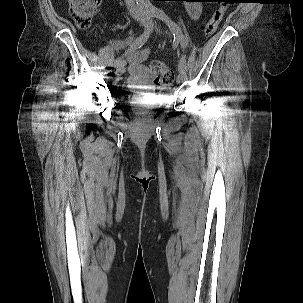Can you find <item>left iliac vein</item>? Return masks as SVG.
<instances>
[{
    "label": "left iliac vein",
    "instance_id": "1",
    "mask_svg": "<svg viewBox=\"0 0 303 303\" xmlns=\"http://www.w3.org/2000/svg\"><path fill=\"white\" fill-rule=\"evenodd\" d=\"M155 31L160 33V29L155 26ZM174 47H177L178 41L173 42ZM187 78L186 70L182 67H179L178 83L185 81Z\"/></svg>",
    "mask_w": 303,
    "mask_h": 303
}]
</instances>
